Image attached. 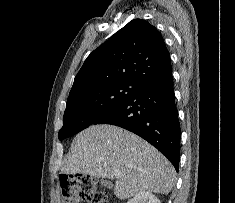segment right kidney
<instances>
[{"label":"right kidney","instance_id":"1","mask_svg":"<svg viewBox=\"0 0 235 203\" xmlns=\"http://www.w3.org/2000/svg\"><path fill=\"white\" fill-rule=\"evenodd\" d=\"M127 203H161L160 200L150 192H143L135 195Z\"/></svg>","mask_w":235,"mask_h":203}]
</instances>
